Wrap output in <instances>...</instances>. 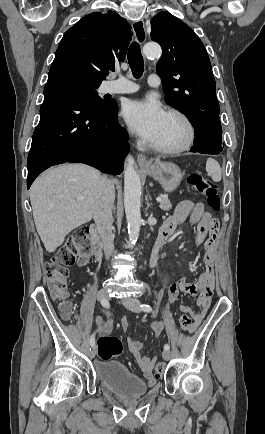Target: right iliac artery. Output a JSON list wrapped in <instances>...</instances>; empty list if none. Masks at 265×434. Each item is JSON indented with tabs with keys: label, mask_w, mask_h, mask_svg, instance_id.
<instances>
[{
	"label": "right iliac artery",
	"mask_w": 265,
	"mask_h": 434,
	"mask_svg": "<svg viewBox=\"0 0 265 434\" xmlns=\"http://www.w3.org/2000/svg\"><path fill=\"white\" fill-rule=\"evenodd\" d=\"M101 305L103 307L108 308L109 307V302L107 300H101ZM90 345L91 346L95 345V335L94 334H92L91 337H90Z\"/></svg>",
	"instance_id": "82829eb1"
}]
</instances>
